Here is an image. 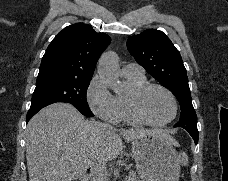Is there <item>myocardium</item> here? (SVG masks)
I'll use <instances>...</instances> for the list:
<instances>
[{
  "label": "myocardium",
  "mask_w": 228,
  "mask_h": 181,
  "mask_svg": "<svg viewBox=\"0 0 228 181\" xmlns=\"http://www.w3.org/2000/svg\"><path fill=\"white\" fill-rule=\"evenodd\" d=\"M150 89H158L168 97V99L170 101L171 112H170V115L166 119H163L160 121H153L145 116L143 109H142V105H141V97L146 91H148ZM130 109H131V112H132L134 118L138 122L147 124V125H151V126H160V125H164V124L168 123L174 117L175 112H176V104H175V100H174V97L172 96V94L168 90H166L164 87L159 86L154 83H146V84L138 87L134 91L132 99L130 101Z\"/></svg>",
  "instance_id": "obj_1"
}]
</instances>
